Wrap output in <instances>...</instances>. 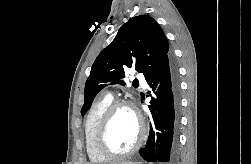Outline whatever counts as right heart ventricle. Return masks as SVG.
<instances>
[{
	"instance_id": "right-heart-ventricle-1",
	"label": "right heart ventricle",
	"mask_w": 251,
	"mask_h": 164,
	"mask_svg": "<svg viewBox=\"0 0 251 164\" xmlns=\"http://www.w3.org/2000/svg\"><path fill=\"white\" fill-rule=\"evenodd\" d=\"M112 103V97L106 95L95 101L90 107L84 121V141L88 158L93 163H102L107 160L101 155L95 145V135L99 121L107 107Z\"/></svg>"
}]
</instances>
